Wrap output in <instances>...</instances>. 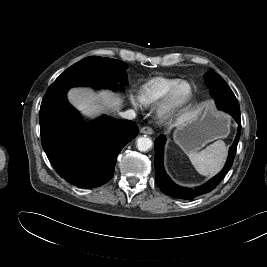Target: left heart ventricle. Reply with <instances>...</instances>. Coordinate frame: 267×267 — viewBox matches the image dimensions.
<instances>
[{
	"mask_svg": "<svg viewBox=\"0 0 267 267\" xmlns=\"http://www.w3.org/2000/svg\"><path fill=\"white\" fill-rule=\"evenodd\" d=\"M187 93V89L186 88H182L180 89V91L178 92V95H177V99H181L182 97H184Z\"/></svg>",
	"mask_w": 267,
	"mask_h": 267,
	"instance_id": "b2bd125f",
	"label": "left heart ventricle"
}]
</instances>
